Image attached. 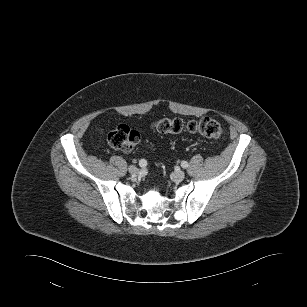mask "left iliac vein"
<instances>
[{"mask_svg": "<svg viewBox=\"0 0 307 307\" xmlns=\"http://www.w3.org/2000/svg\"><path fill=\"white\" fill-rule=\"evenodd\" d=\"M172 178L176 182H180L185 178V173L182 170H177L172 174Z\"/></svg>", "mask_w": 307, "mask_h": 307, "instance_id": "left-iliac-vein-1", "label": "left iliac vein"}]
</instances>
